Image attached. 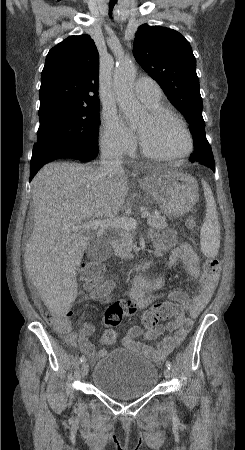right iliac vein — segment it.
I'll return each mask as SVG.
<instances>
[{
    "label": "right iliac vein",
    "instance_id": "right-iliac-vein-1",
    "mask_svg": "<svg viewBox=\"0 0 245 450\" xmlns=\"http://www.w3.org/2000/svg\"><path fill=\"white\" fill-rule=\"evenodd\" d=\"M88 374V364L84 362L81 365V376L84 378Z\"/></svg>",
    "mask_w": 245,
    "mask_h": 450
}]
</instances>
